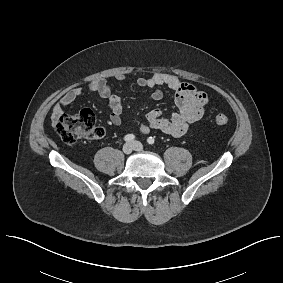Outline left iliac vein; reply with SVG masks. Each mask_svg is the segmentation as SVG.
I'll list each match as a JSON object with an SVG mask.
<instances>
[{
    "label": "left iliac vein",
    "instance_id": "obj_1",
    "mask_svg": "<svg viewBox=\"0 0 283 283\" xmlns=\"http://www.w3.org/2000/svg\"><path fill=\"white\" fill-rule=\"evenodd\" d=\"M131 144L134 146V150L136 151H142L143 150V145L139 141H133Z\"/></svg>",
    "mask_w": 283,
    "mask_h": 283
}]
</instances>
